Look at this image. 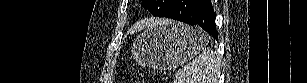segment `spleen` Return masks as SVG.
<instances>
[{"instance_id":"3e777b00","label":"spleen","mask_w":307,"mask_h":83,"mask_svg":"<svg viewBox=\"0 0 307 83\" xmlns=\"http://www.w3.org/2000/svg\"><path fill=\"white\" fill-rule=\"evenodd\" d=\"M207 37H209L207 35ZM220 57L216 51L203 48L201 54L182 67L176 74L175 83H217L220 75Z\"/></svg>"}]
</instances>
